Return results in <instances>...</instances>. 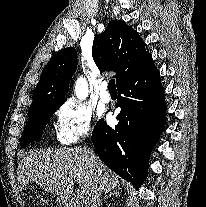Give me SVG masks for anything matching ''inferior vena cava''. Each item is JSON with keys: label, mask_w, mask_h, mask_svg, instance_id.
<instances>
[{"label": "inferior vena cava", "mask_w": 206, "mask_h": 207, "mask_svg": "<svg viewBox=\"0 0 206 207\" xmlns=\"http://www.w3.org/2000/svg\"><path fill=\"white\" fill-rule=\"evenodd\" d=\"M89 151V150H88ZM89 154L91 156V159H93V153L91 151H89ZM99 195H100V190H98L94 196L92 197V199L88 202V205L90 207H99V203H100V200H99Z\"/></svg>", "instance_id": "inferior-vena-cava-1"}]
</instances>
